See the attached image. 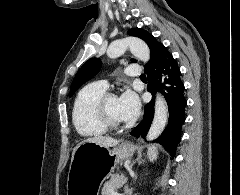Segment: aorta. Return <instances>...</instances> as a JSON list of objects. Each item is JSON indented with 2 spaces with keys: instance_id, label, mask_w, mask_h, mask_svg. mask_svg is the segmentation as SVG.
Segmentation results:
<instances>
[{
  "instance_id": "762f6f07",
  "label": "aorta",
  "mask_w": 240,
  "mask_h": 195,
  "mask_svg": "<svg viewBox=\"0 0 240 195\" xmlns=\"http://www.w3.org/2000/svg\"><path fill=\"white\" fill-rule=\"evenodd\" d=\"M130 50L131 54L141 60V62H148L150 60V50L139 38H124V40H116L112 42L107 50L109 58H119L125 54L126 50ZM168 119L167 101L157 94L155 99V113L151 127L147 133V139H156L162 133Z\"/></svg>"
}]
</instances>
